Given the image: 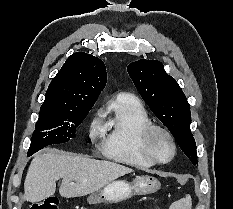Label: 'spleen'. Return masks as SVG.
Returning a JSON list of instances; mask_svg holds the SVG:
<instances>
[{"label":"spleen","instance_id":"3e777b00","mask_svg":"<svg viewBox=\"0 0 233 209\" xmlns=\"http://www.w3.org/2000/svg\"><path fill=\"white\" fill-rule=\"evenodd\" d=\"M191 207H192L191 196L186 195L185 198H182V199L174 202L170 206V209H191Z\"/></svg>","mask_w":233,"mask_h":209}]
</instances>
